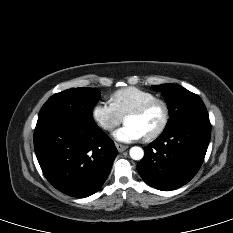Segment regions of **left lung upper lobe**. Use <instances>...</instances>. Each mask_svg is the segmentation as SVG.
Here are the masks:
<instances>
[{"instance_id": "1", "label": "left lung upper lobe", "mask_w": 233, "mask_h": 233, "mask_svg": "<svg viewBox=\"0 0 233 233\" xmlns=\"http://www.w3.org/2000/svg\"><path fill=\"white\" fill-rule=\"evenodd\" d=\"M161 91L169 108L170 118L166 129L192 119H209L207 109L201 98L177 84L153 85Z\"/></svg>"}]
</instances>
